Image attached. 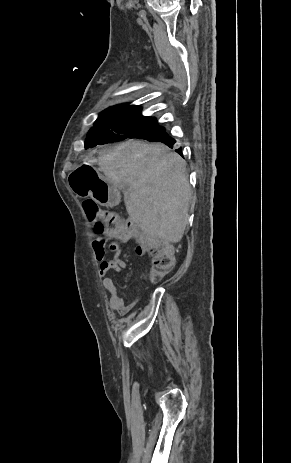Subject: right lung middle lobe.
Returning a JSON list of instances; mask_svg holds the SVG:
<instances>
[{"instance_id": "1", "label": "right lung middle lobe", "mask_w": 291, "mask_h": 463, "mask_svg": "<svg viewBox=\"0 0 291 463\" xmlns=\"http://www.w3.org/2000/svg\"><path fill=\"white\" fill-rule=\"evenodd\" d=\"M165 129L153 117L114 115L102 112L94 123L85 141V148L126 139H147Z\"/></svg>"}]
</instances>
